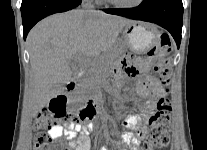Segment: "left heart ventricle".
<instances>
[{
	"mask_svg": "<svg viewBox=\"0 0 207 150\" xmlns=\"http://www.w3.org/2000/svg\"><path fill=\"white\" fill-rule=\"evenodd\" d=\"M119 3H123V4H131L133 2H135L136 0H115Z\"/></svg>",
	"mask_w": 207,
	"mask_h": 150,
	"instance_id": "1",
	"label": "left heart ventricle"
}]
</instances>
